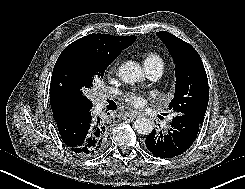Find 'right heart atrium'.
<instances>
[{"label":"right heart atrium","instance_id":"obj_1","mask_svg":"<svg viewBox=\"0 0 245 189\" xmlns=\"http://www.w3.org/2000/svg\"><path fill=\"white\" fill-rule=\"evenodd\" d=\"M118 69V62L114 61L111 63V65L109 66V72L110 73H116Z\"/></svg>","mask_w":245,"mask_h":189}]
</instances>
